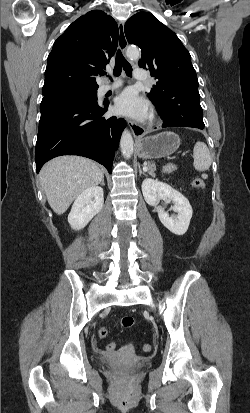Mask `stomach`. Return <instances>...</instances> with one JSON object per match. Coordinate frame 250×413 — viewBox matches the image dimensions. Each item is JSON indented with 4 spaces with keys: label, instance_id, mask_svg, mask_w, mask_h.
Returning <instances> with one entry per match:
<instances>
[{
    "label": "stomach",
    "instance_id": "stomach-1",
    "mask_svg": "<svg viewBox=\"0 0 250 413\" xmlns=\"http://www.w3.org/2000/svg\"><path fill=\"white\" fill-rule=\"evenodd\" d=\"M180 146V138L173 132H162L141 138L137 142V153L145 159H158L170 156Z\"/></svg>",
    "mask_w": 250,
    "mask_h": 413
}]
</instances>
